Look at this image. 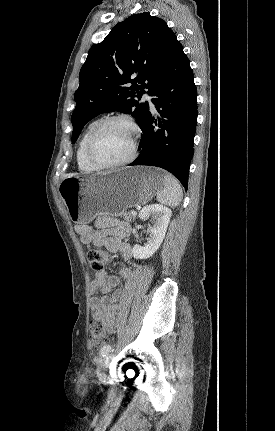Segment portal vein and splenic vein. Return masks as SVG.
I'll return each instance as SVG.
<instances>
[{"label":"portal vein and splenic vein","mask_w":275,"mask_h":431,"mask_svg":"<svg viewBox=\"0 0 275 431\" xmlns=\"http://www.w3.org/2000/svg\"><path fill=\"white\" fill-rule=\"evenodd\" d=\"M131 214L135 216L137 214V212L135 210H132Z\"/></svg>","instance_id":"18ae733b"}]
</instances>
